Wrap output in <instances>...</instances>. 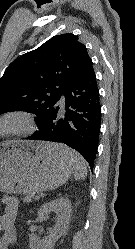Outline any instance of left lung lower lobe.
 I'll return each mask as SVG.
<instances>
[{"label": "left lung lower lobe", "instance_id": "0a47b994", "mask_svg": "<svg viewBox=\"0 0 135 249\" xmlns=\"http://www.w3.org/2000/svg\"><path fill=\"white\" fill-rule=\"evenodd\" d=\"M100 125V95L92 66L83 78L63 90L39 125V131L27 139L64 143L78 151L92 170Z\"/></svg>", "mask_w": 135, "mask_h": 249}]
</instances>
